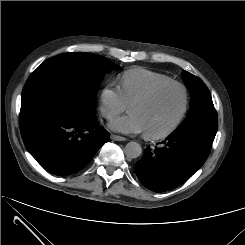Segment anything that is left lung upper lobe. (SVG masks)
<instances>
[{"instance_id": "left-lung-upper-lobe-1", "label": "left lung upper lobe", "mask_w": 245, "mask_h": 245, "mask_svg": "<svg viewBox=\"0 0 245 245\" xmlns=\"http://www.w3.org/2000/svg\"><path fill=\"white\" fill-rule=\"evenodd\" d=\"M191 94L190 112L184 123L171 134H197L213 141L218 129L217 112L204 82L187 71L182 72Z\"/></svg>"}]
</instances>
